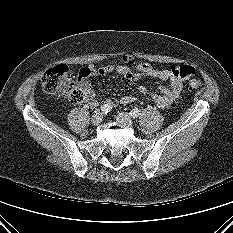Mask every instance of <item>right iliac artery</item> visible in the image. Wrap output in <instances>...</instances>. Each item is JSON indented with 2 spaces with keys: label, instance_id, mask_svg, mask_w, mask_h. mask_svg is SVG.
Wrapping results in <instances>:
<instances>
[{
  "label": "right iliac artery",
  "instance_id": "1",
  "mask_svg": "<svg viewBox=\"0 0 233 233\" xmlns=\"http://www.w3.org/2000/svg\"><path fill=\"white\" fill-rule=\"evenodd\" d=\"M101 111L104 113V114H107L109 113L111 110H112V107L107 105V104H104L100 107ZM99 112V110H96L95 113Z\"/></svg>",
  "mask_w": 233,
  "mask_h": 233
}]
</instances>
